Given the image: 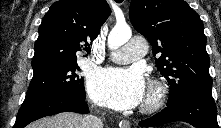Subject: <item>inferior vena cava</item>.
<instances>
[{
  "label": "inferior vena cava",
  "instance_id": "1",
  "mask_svg": "<svg viewBox=\"0 0 221 128\" xmlns=\"http://www.w3.org/2000/svg\"><path fill=\"white\" fill-rule=\"evenodd\" d=\"M84 128H103L100 118L95 115H88L83 120Z\"/></svg>",
  "mask_w": 221,
  "mask_h": 128
}]
</instances>
